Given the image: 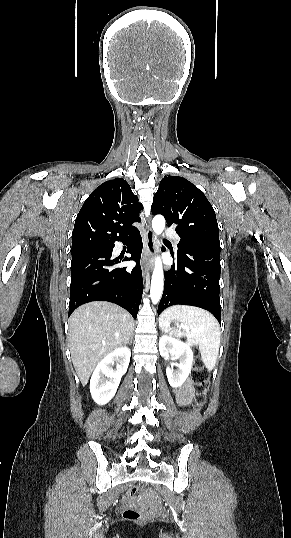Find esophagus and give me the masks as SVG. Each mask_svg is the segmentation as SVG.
<instances>
[{
    "mask_svg": "<svg viewBox=\"0 0 291 538\" xmlns=\"http://www.w3.org/2000/svg\"><path fill=\"white\" fill-rule=\"evenodd\" d=\"M146 230H145V243H144V249L142 253L141 258V266H142V272L143 277L147 278L150 269L153 266V256L156 251L157 247V240L156 236L154 235L151 227H150V219H146Z\"/></svg>",
    "mask_w": 291,
    "mask_h": 538,
    "instance_id": "1",
    "label": "esophagus"
}]
</instances>
